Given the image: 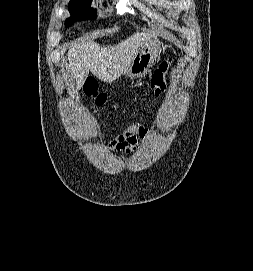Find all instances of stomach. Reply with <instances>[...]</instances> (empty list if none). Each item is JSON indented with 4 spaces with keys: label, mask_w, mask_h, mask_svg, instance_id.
Listing matches in <instances>:
<instances>
[{
    "label": "stomach",
    "mask_w": 253,
    "mask_h": 271,
    "mask_svg": "<svg viewBox=\"0 0 253 271\" xmlns=\"http://www.w3.org/2000/svg\"><path fill=\"white\" fill-rule=\"evenodd\" d=\"M159 51L160 44L158 42H154L141 48L135 55L134 60L126 73L127 76L131 79H137L144 76L156 60Z\"/></svg>",
    "instance_id": "0dacf381"
}]
</instances>
